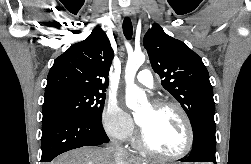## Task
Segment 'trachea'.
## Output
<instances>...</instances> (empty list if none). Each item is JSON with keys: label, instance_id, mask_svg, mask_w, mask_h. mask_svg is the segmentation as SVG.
Masks as SVG:
<instances>
[{"label": "trachea", "instance_id": "1", "mask_svg": "<svg viewBox=\"0 0 251 164\" xmlns=\"http://www.w3.org/2000/svg\"><path fill=\"white\" fill-rule=\"evenodd\" d=\"M123 33L125 37L130 40L133 34V26L130 18H125L123 21Z\"/></svg>", "mask_w": 251, "mask_h": 164}]
</instances>
